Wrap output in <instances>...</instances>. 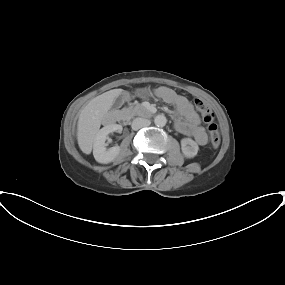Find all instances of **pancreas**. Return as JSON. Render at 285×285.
Listing matches in <instances>:
<instances>
[{"label":"pancreas","mask_w":285,"mask_h":285,"mask_svg":"<svg viewBox=\"0 0 285 285\" xmlns=\"http://www.w3.org/2000/svg\"><path fill=\"white\" fill-rule=\"evenodd\" d=\"M125 110L130 113V117L137 115V111L134 107H129L128 109H125Z\"/></svg>","instance_id":"cf45deb5"}]
</instances>
